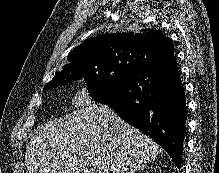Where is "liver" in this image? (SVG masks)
<instances>
[{
  "mask_svg": "<svg viewBox=\"0 0 219 173\" xmlns=\"http://www.w3.org/2000/svg\"><path fill=\"white\" fill-rule=\"evenodd\" d=\"M158 153L152 139L94 103L38 127L25 166L29 173H135Z\"/></svg>",
  "mask_w": 219,
  "mask_h": 173,
  "instance_id": "liver-1",
  "label": "liver"
}]
</instances>
